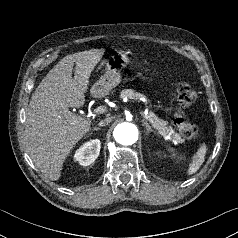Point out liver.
<instances>
[{
  "instance_id": "1",
  "label": "liver",
  "mask_w": 238,
  "mask_h": 238,
  "mask_svg": "<svg viewBox=\"0 0 238 238\" xmlns=\"http://www.w3.org/2000/svg\"><path fill=\"white\" fill-rule=\"evenodd\" d=\"M104 52L92 49L67 55L48 72L31 97L25 143L35 165L52 181L60 178L65 159L90 129L91 121L72 113L69 107L85 104L91 72Z\"/></svg>"
}]
</instances>
